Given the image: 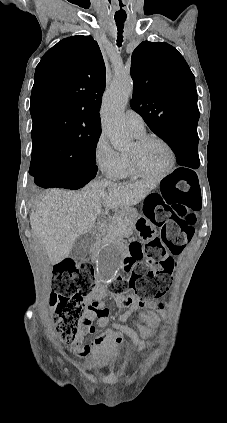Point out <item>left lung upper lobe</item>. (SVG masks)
<instances>
[{
	"mask_svg": "<svg viewBox=\"0 0 227 423\" xmlns=\"http://www.w3.org/2000/svg\"><path fill=\"white\" fill-rule=\"evenodd\" d=\"M131 107L166 142L197 134L195 77L183 56L165 42H142L131 58Z\"/></svg>",
	"mask_w": 227,
	"mask_h": 423,
	"instance_id": "left-lung-upper-lobe-1",
	"label": "left lung upper lobe"
}]
</instances>
